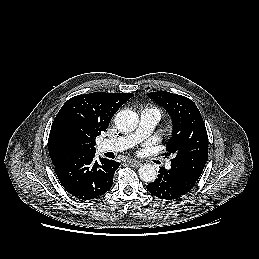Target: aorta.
I'll return each mask as SVG.
<instances>
[{
    "label": "aorta",
    "instance_id": "762f6f07",
    "mask_svg": "<svg viewBox=\"0 0 259 259\" xmlns=\"http://www.w3.org/2000/svg\"><path fill=\"white\" fill-rule=\"evenodd\" d=\"M139 117L136 112L130 109H123L115 116V125L120 132L128 133L137 128ZM141 180L145 182H153L157 178V171L155 167L149 164L141 166L138 170Z\"/></svg>",
    "mask_w": 259,
    "mask_h": 259
}]
</instances>
